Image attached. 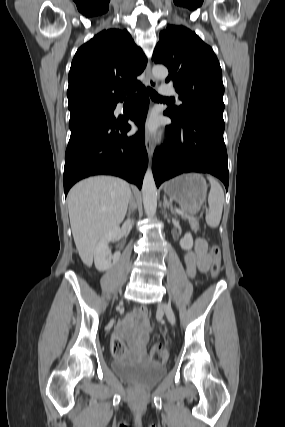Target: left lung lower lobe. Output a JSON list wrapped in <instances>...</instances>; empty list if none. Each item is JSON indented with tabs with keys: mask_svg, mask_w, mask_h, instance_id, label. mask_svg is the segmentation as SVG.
<instances>
[{
	"mask_svg": "<svg viewBox=\"0 0 285 427\" xmlns=\"http://www.w3.org/2000/svg\"><path fill=\"white\" fill-rule=\"evenodd\" d=\"M172 125L166 126L167 140L153 156L152 170L157 187L176 175L209 173L228 189L227 152L223 139L224 120L213 114H199L178 121L167 111Z\"/></svg>",
	"mask_w": 285,
	"mask_h": 427,
	"instance_id": "left-lung-lower-lobe-1",
	"label": "left lung lower lobe"
}]
</instances>
